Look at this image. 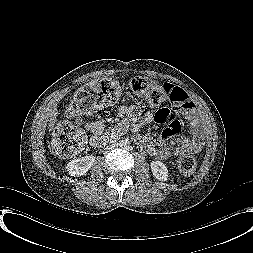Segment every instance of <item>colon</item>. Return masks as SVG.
Wrapping results in <instances>:
<instances>
[{"instance_id":"5ec220e1","label":"colon","mask_w":253,"mask_h":253,"mask_svg":"<svg viewBox=\"0 0 253 253\" xmlns=\"http://www.w3.org/2000/svg\"><path fill=\"white\" fill-rule=\"evenodd\" d=\"M130 88L144 97L150 106H158L164 101H174L175 88L170 84L134 77L130 80ZM127 88L113 79H100L81 88L70 103V115L90 114L97 109L113 105L126 97ZM86 144L84 135L71 123L63 122L55 129L52 148L61 158L72 157L80 153ZM179 171L184 175L191 174L196 167V159L192 155H183L177 161Z\"/></svg>"}]
</instances>
